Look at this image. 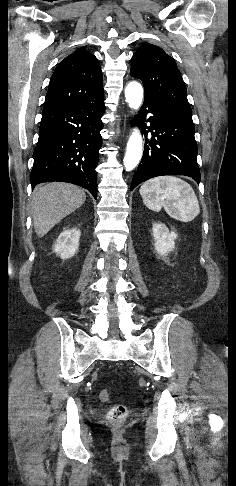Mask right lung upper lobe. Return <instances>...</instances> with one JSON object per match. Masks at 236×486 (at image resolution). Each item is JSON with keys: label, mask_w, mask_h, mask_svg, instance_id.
<instances>
[{"label": "right lung upper lobe", "mask_w": 236, "mask_h": 486, "mask_svg": "<svg viewBox=\"0 0 236 486\" xmlns=\"http://www.w3.org/2000/svg\"><path fill=\"white\" fill-rule=\"evenodd\" d=\"M103 97L102 71L96 57L78 48L63 59L52 74L43 113Z\"/></svg>", "instance_id": "right-lung-upper-lobe-1"}]
</instances>
